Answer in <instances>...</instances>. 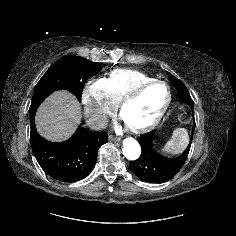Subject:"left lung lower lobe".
<instances>
[{
	"label": "left lung lower lobe",
	"instance_id": "1",
	"mask_svg": "<svg viewBox=\"0 0 236 236\" xmlns=\"http://www.w3.org/2000/svg\"><path fill=\"white\" fill-rule=\"evenodd\" d=\"M182 102L189 105L194 115L193 100L182 99ZM194 129L195 121L192 127L191 140ZM154 134L155 131H151L137 138L141 146V155L137 160L131 161L129 167L137 177L145 182L163 183L174 177L182 168L188 156L191 142L182 155L176 158H168L153 148Z\"/></svg>",
	"mask_w": 236,
	"mask_h": 236
}]
</instances>
